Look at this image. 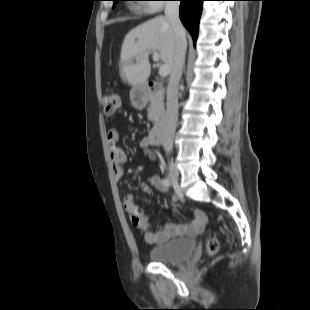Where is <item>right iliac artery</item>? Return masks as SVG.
Returning <instances> with one entry per match:
<instances>
[{
	"label": "right iliac artery",
	"instance_id": "right-iliac-artery-1",
	"mask_svg": "<svg viewBox=\"0 0 310 310\" xmlns=\"http://www.w3.org/2000/svg\"><path fill=\"white\" fill-rule=\"evenodd\" d=\"M163 184L165 185V186H170V181H169V179L168 178H166V179H163Z\"/></svg>",
	"mask_w": 310,
	"mask_h": 310
}]
</instances>
